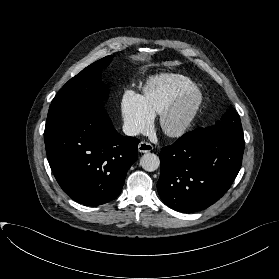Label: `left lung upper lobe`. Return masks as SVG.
<instances>
[{"instance_id":"obj_1","label":"left lung upper lobe","mask_w":279,"mask_h":279,"mask_svg":"<svg viewBox=\"0 0 279 279\" xmlns=\"http://www.w3.org/2000/svg\"><path fill=\"white\" fill-rule=\"evenodd\" d=\"M197 130L208 133H226L238 140L244 141L240 117L232 109L227 111V113L222 117V120L216 122L213 126L208 128H199Z\"/></svg>"}]
</instances>
